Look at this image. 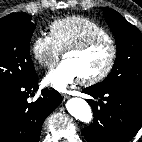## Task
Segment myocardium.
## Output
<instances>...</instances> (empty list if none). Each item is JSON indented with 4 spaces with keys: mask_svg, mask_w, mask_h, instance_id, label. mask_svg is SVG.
I'll use <instances>...</instances> for the list:
<instances>
[{
    "mask_svg": "<svg viewBox=\"0 0 142 142\" xmlns=\"http://www.w3.org/2000/svg\"><path fill=\"white\" fill-rule=\"evenodd\" d=\"M99 42H107L110 45L111 48L110 58L106 66L100 72L88 77L81 78V82L86 85H93L104 80L112 71L117 59V52H118L115 41L111 37L94 35L84 39L81 42H78L74 45L67 47L63 51V58H65V56L69 53L85 51Z\"/></svg>",
    "mask_w": 142,
    "mask_h": 142,
    "instance_id": "myocardium-1",
    "label": "myocardium"
}]
</instances>
